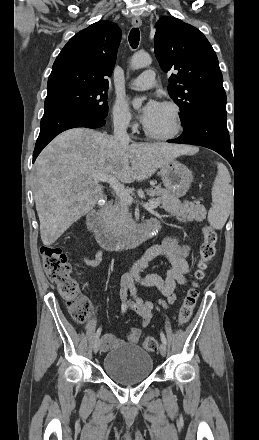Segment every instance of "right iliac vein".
Wrapping results in <instances>:
<instances>
[{
	"label": "right iliac vein",
	"instance_id": "1",
	"mask_svg": "<svg viewBox=\"0 0 259 440\" xmlns=\"http://www.w3.org/2000/svg\"><path fill=\"white\" fill-rule=\"evenodd\" d=\"M99 348H100V340L98 338L94 341V344H93V351L95 354L99 351Z\"/></svg>",
	"mask_w": 259,
	"mask_h": 440
}]
</instances>
